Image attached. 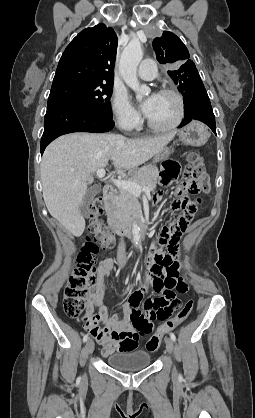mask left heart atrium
I'll list each match as a JSON object with an SVG mask.
<instances>
[{
	"label": "left heart atrium",
	"instance_id": "left-heart-atrium-1",
	"mask_svg": "<svg viewBox=\"0 0 255 418\" xmlns=\"http://www.w3.org/2000/svg\"><path fill=\"white\" fill-rule=\"evenodd\" d=\"M156 99L157 94H152L144 102H142L141 108L146 116H148V114L151 112Z\"/></svg>",
	"mask_w": 255,
	"mask_h": 418
}]
</instances>
